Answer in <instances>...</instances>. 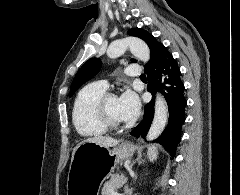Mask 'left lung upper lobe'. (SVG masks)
Returning <instances> with one entry per match:
<instances>
[{
    "label": "left lung upper lobe",
    "instance_id": "5c2ea615",
    "mask_svg": "<svg viewBox=\"0 0 240 195\" xmlns=\"http://www.w3.org/2000/svg\"><path fill=\"white\" fill-rule=\"evenodd\" d=\"M128 34L131 36L139 37L142 40H144L150 49L151 59L144 67L145 73L148 74L161 61H163L170 55L167 48L163 44L159 43L149 32L140 28H134L130 29L128 31ZM131 61L135 62L134 59H132ZM100 68L101 60L99 58H91L88 61H86L82 65V67L80 68L72 82L70 88V96H72L82 84H84L86 81L94 77L99 72Z\"/></svg>",
    "mask_w": 240,
    "mask_h": 195
}]
</instances>
